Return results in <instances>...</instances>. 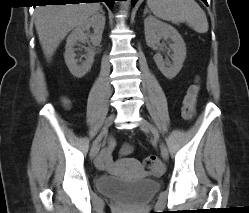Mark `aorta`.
Wrapping results in <instances>:
<instances>
[{
    "instance_id": "obj_1",
    "label": "aorta",
    "mask_w": 249,
    "mask_h": 213,
    "mask_svg": "<svg viewBox=\"0 0 249 213\" xmlns=\"http://www.w3.org/2000/svg\"><path fill=\"white\" fill-rule=\"evenodd\" d=\"M120 8H121V11L127 12L128 9H129V0H127V1H120Z\"/></svg>"
}]
</instances>
